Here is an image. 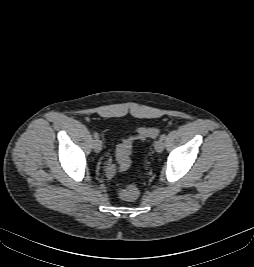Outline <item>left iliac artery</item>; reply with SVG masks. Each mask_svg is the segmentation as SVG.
<instances>
[{
    "label": "left iliac artery",
    "instance_id": "left-iliac-artery-1",
    "mask_svg": "<svg viewBox=\"0 0 254 267\" xmlns=\"http://www.w3.org/2000/svg\"><path fill=\"white\" fill-rule=\"evenodd\" d=\"M166 138V134H162L161 136H160V139H162V140H164Z\"/></svg>",
    "mask_w": 254,
    "mask_h": 267
}]
</instances>
